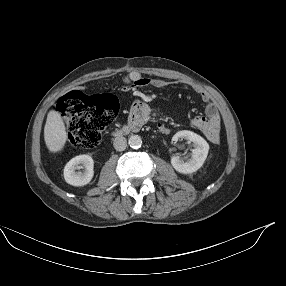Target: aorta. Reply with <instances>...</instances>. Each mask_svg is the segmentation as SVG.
I'll return each instance as SVG.
<instances>
[{"label": "aorta", "instance_id": "obj_1", "mask_svg": "<svg viewBox=\"0 0 286 286\" xmlns=\"http://www.w3.org/2000/svg\"><path fill=\"white\" fill-rule=\"evenodd\" d=\"M128 143H129L130 147L137 149V148L141 147L142 139L138 135H132V136H130Z\"/></svg>", "mask_w": 286, "mask_h": 286}]
</instances>
